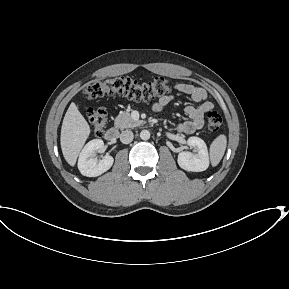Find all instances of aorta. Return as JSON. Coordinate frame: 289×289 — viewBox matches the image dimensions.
<instances>
[{
	"label": "aorta",
	"instance_id": "aorta-1",
	"mask_svg": "<svg viewBox=\"0 0 289 289\" xmlns=\"http://www.w3.org/2000/svg\"><path fill=\"white\" fill-rule=\"evenodd\" d=\"M140 138L142 140H148L150 138V132L148 130H142L140 132Z\"/></svg>",
	"mask_w": 289,
	"mask_h": 289
}]
</instances>
